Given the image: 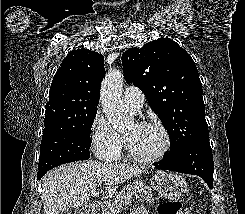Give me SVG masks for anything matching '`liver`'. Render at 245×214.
<instances>
[{
    "label": "liver",
    "mask_w": 245,
    "mask_h": 214,
    "mask_svg": "<svg viewBox=\"0 0 245 214\" xmlns=\"http://www.w3.org/2000/svg\"><path fill=\"white\" fill-rule=\"evenodd\" d=\"M144 170L116 163L88 161L62 165L49 171L42 179L41 200L44 214H60L69 208H79L89 201V192L102 182L106 193Z\"/></svg>",
    "instance_id": "1"
}]
</instances>
